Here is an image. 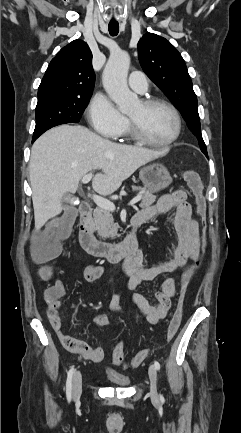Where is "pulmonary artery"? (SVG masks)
Returning <instances> with one entry per match:
<instances>
[{
  "instance_id": "e3ab8cb5",
  "label": "pulmonary artery",
  "mask_w": 241,
  "mask_h": 433,
  "mask_svg": "<svg viewBox=\"0 0 241 433\" xmlns=\"http://www.w3.org/2000/svg\"><path fill=\"white\" fill-rule=\"evenodd\" d=\"M129 86L137 93H145L148 90V81L142 72H132L129 77Z\"/></svg>"
}]
</instances>
